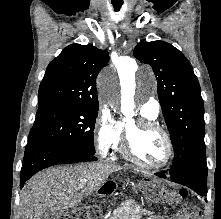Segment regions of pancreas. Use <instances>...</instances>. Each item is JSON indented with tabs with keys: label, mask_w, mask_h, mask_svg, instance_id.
<instances>
[{
	"label": "pancreas",
	"mask_w": 221,
	"mask_h": 219,
	"mask_svg": "<svg viewBox=\"0 0 221 219\" xmlns=\"http://www.w3.org/2000/svg\"><path fill=\"white\" fill-rule=\"evenodd\" d=\"M144 214H151V212L141 208L132 200L115 209L109 219H140Z\"/></svg>",
	"instance_id": "pancreas-1"
}]
</instances>
